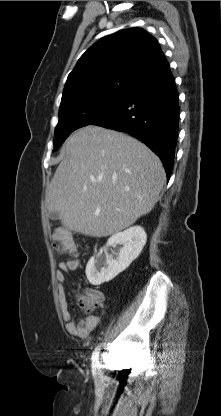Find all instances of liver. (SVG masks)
I'll use <instances>...</instances> for the list:
<instances>
[{
    "instance_id": "6515ba94",
    "label": "liver",
    "mask_w": 221,
    "mask_h": 416,
    "mask_svg": "<svg viewBox=\"0 0 221 416\" xmlns=\"http://www.w3.org/2000/svg\"><path fill=\"white\" fill-rule=\"evenodd\" d=\"M166 174L159 157L122 132L88 125L75 131L46 189L49 212L70 231L106 237L148 214Z\"/></svg>"
}]
</instances>
